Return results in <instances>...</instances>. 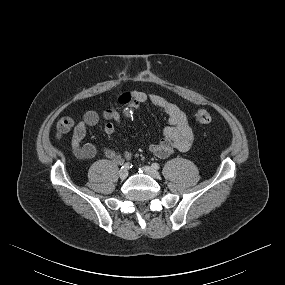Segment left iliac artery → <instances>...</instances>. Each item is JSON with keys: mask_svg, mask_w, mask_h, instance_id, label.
Listing matches in <instances>:
<instances>
[{"mask_svg": "<svg viewBox=\"0 0 285 285\" xmlns=\"http://www.w3.org/2000/svg\"><path fill=\"white\" fill-rule=\"evenodd\" d=\"M152 167H153L154 169H159V168H160V165H159L158 163H153V164H152Z\"/></svg>", "mask_w": 285, "mask_h": 285, "instance_id": "obj_1", "label": "left iliac artery"}]
</instances>
